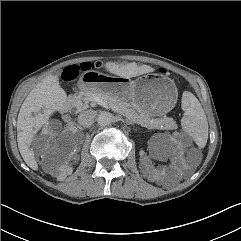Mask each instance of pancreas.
Returning <instances> with one entry per match:
<instances>
[{
  "mask_svg": "<svg viewBox=\"0 0 241 241\" xmlns=\"http://www.w3.org/2000/svg\"><path fill=\"white\" fill-rule=\"evenodd\" d=\"M98 99L106 102L112 109L119 114L131 119L148 129H174L177 127L173 118L164 116L163 118H150V115L143 110L137 108L132 102L117 99L105 93L94 90H84L71 98L72 104L77 109H85L90 102L98 101Z\"/></svg>",
  "mask_w": 241,
  "mask_h": 241,
  "instance_id": "pancreas-1",
  "label": "pancreas"
}]
</instances>
